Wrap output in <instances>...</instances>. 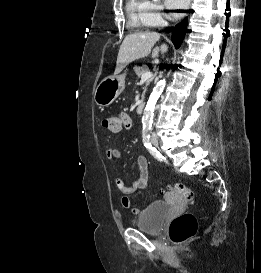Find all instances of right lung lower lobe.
I'll list each match as a JSON object with an SVG mask.
<instances>
[{
  "label": "right lung lower lobe",
  "mask_w": 261,
  "mask_h": 273,
  "mask_svg": "<svg viewBox=\"0 0 261 273\" xmlns=\"http://www.w3.org/2000/svg\"><path fill=\"white\" fill-rule=\"evenodd\" d=\"M187 26V18H185L181 23L177 24L172 32V42L175 45V48H179L181 42L185 36Z\"/></svg>",
  "instance_id": "1"
}]
</instances>
